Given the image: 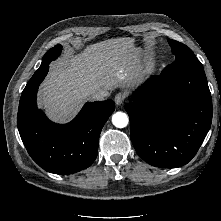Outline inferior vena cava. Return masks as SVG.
<instances>
[{
    "instance_id": "1",
    "label": "inferior vena cava",
    "mask_w": 221,
    "mask_h": 221,
    "mask_svg": "<svg viewBox=\"0 0 221 221\" xmlns=\"http://www.w3.org/2000/svg\"><path fill=\"white\" fill-rule=\"evenodd\" d=\"M109 96V92L105 89H97L89 93V98L93 101H103Z\"/></svg>"
}]
</instances>
